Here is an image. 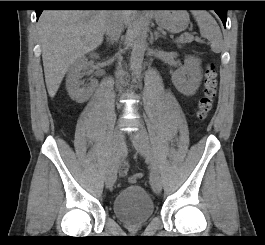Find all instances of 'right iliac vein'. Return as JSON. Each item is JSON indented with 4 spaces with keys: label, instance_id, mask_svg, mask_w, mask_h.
Here are the masks:
<instances>
[{
    "label": "right iliac vein",
    "instance_id": "obj_1",
    "mask_svg": "<svg viewBox=\"0 0 265 245\" xmlns=\"http://www.w3.org/2000/svg\"><path fill=\"white\" fill-rule=\"evenodd\" d=\"M121 143H122V132L120 130H116L113 133V137H112L113 158L110 164L108 165V169L106 172V178H105L106 185L108 188H112L117 178V170H118L117 158L120 153Z\"/></svg>",
    "mask_w": 265,
    "mask_h": 245
}]
</instances>
